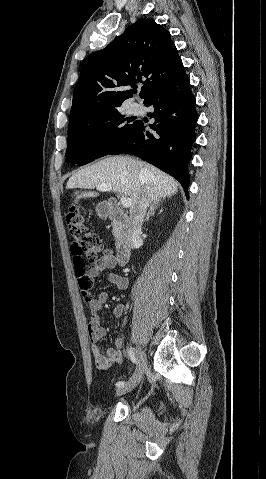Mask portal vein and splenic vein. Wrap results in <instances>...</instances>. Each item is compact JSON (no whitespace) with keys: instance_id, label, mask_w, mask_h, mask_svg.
<instances>
[{"instance_id":"portal-vein-and-splenic-vein-1","label":"portal vein and splenic vein","mask_w":266,"mask_h":479,"mask_svg":"<svg viewBox=\"0 0 266 479\" xmlns=\"http://www.w3.org/2000/svg\"><path fill=\"white\" fill-rule=\"evenodd\" d=\"M97 190L102 191V192H106V191H111L112 187L110 185L103 184V185L98 186ZM120 201H121L122 206L124 208H129L132 205V199L131 198H126V197L122 196L120 198Z\"/></svg>"}]
</instances>
